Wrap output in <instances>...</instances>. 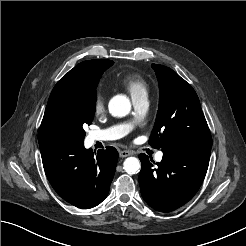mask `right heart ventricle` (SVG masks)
<instances>
[{
  "mask_svg": "<svg viewBox=\"0 0 246 246\" xmlns=\"http://www.w3.org/2000/svg\"><path fill=\"white\" fill-rule=\"evenodd\" d=\"M123 85L129 91L132 99L143 95H148L146 81L138 75H128L122 80Z\"/></svg>",
  "mask_w": 246,
  "mask_h": 246,
  "instance_id": "obj_1",
  "label": "right heart ventricle"
}]
</instances>
